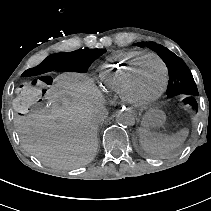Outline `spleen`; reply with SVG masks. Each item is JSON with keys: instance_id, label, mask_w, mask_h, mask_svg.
Segmentation results:
<instances>
[{"instance_id": "1", "label": "spleen", "mask_w": 211, "mask_h": 211, "mask_svg": "<svg viewBox=\"0 0 211 211\" xmlns=\"http://www.w3.org/2000/svg\"><path fill=\"white\" fill-rule=\"evenodd\" d=\"M140 141L143 148L150 153H164L169 151L187 137L188 131L183 129L176 136L157 134L146 129L145 126L140 130Z\"/></svg>"}]
</instances>
